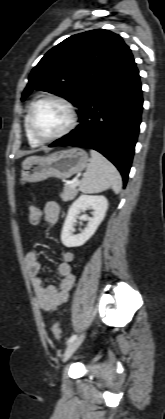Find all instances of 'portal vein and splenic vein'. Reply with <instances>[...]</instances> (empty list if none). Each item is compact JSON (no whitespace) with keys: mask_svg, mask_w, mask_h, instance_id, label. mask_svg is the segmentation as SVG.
I'll list each match as a JSON object with an SVG mask.
<instances>
[{"mask_svg":"<svg viewBox=\"0 0 165 419\" xmlns=\"http://www.w3.org/2000/svg\"><path fill=\"white\" fill-rule=\"evenodd\" d=\"M71 184H73L74 186L78 185L79 184L78 179H75L74 181H72Z\"/></svg>","mask_w":165,"mask_h":419,"instance_id":"18ae733b","label":"portal vein and splenic vein"}]
</instances>
